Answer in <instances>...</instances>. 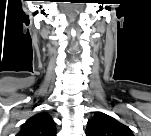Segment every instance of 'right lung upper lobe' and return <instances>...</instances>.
Returning a JSON list of instances; mask_svg holds the SVG:
<instances>
[{
	"label": "right lung upper lobe",
	"instance_id": "obj_1",
	"mask_svg": "<svg viewBox=\"0 0 151 136\" xmlns=\"http://www.w3.org/2000/svg\"><path fill=\"white\" fill-rule=\"evenodd\" d=\"M18 136H56L55 122L46 112L38 113L22 125Z\"/></svg>",
	"mask_w": 151,
	"mask_h": 136
}]
</instances>
